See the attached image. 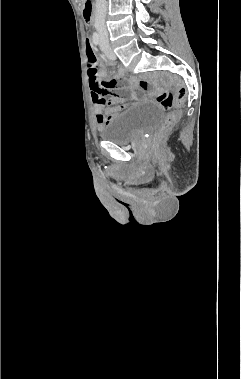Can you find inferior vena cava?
Here are the masks:
<instances>
[{
  "label": "inferior vena cava",
  "instance_id": "obj_1",
  "mask_svg": "<svg viewBox=\"0 0 241 379\" xmlns=\"http://www.w3.org/2000/svg\"><path fill=\"white\" fill-rule=\"evenodd\" d=\"M107 1L96 0L95 28L101 39L108 40V31L105 25L107 13Z\"/></svg>",
  "mask_w": 241,
  "mask_h": 379
}]
</instances>
